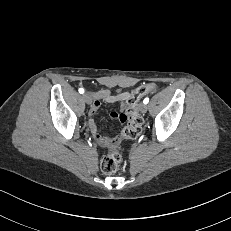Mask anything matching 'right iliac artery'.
<instances>
[{"mask_svg":"<svg viewBox=\"0 0 231 231\" xmlns=\"http://www.w3.org/2000/svg\"><path fill=\"white\" fill-rule=\"evenodd\" d=\"M79 93L83 94V93H84V89H83V88H80V89H79Z\"/></svg>","mask_w":231,"mask_h":231,"instance_id":"right-iliac-artery-1","label":"right iliac artery"}]
</instances>
